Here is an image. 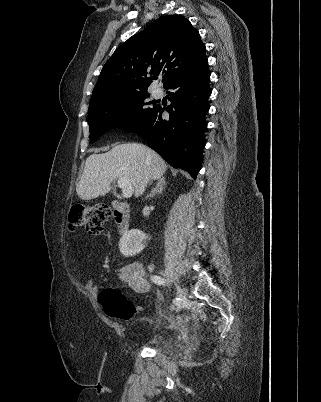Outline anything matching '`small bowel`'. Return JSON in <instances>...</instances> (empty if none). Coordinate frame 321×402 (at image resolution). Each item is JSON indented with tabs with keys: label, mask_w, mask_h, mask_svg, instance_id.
<instances>
[{
	"label": "small bowel",
	"mask_w": 321,
	"mask_h": 402,
	"mask_svg": "<svg viewBox=\"0 0 321 402\" xmlns=\"http://www.w3.org/2000/svg\"><path fill=\"white\" fill-rule=\"evenodd\" d=\"M119 279L124 287H127L139 294H145L150 290V282L148 281L144 267L137 262L130 263L121 268ZM88 287L92 291H97L98 286L90 282Z\"/></svg>",
	"instance_id": "small-bowel-1"
}]
</instances>
